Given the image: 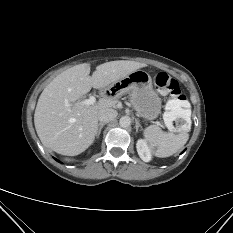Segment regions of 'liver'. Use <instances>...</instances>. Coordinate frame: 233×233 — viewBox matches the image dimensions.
I'll list each match as a JSON object with an SVG mask.
<instances>
[{"label": "liver", "mask_w": 233, "mask_h": 233, "mask_svg": "<svg viewBox=\"0 0 233 233\" xmlns=\"http://www.w3.org/2000/svg\"><path fill=\"white\" fill-rule=\"evenodd\" d=\"M145 66L135 61H110L97 66L89 76L90 64L83 63L55 77L41 93L34 114L35 129L42 144L66 156L84 152L97 135L98 113L118 102L114 97L104 96L87 106L82 104L84 96L92 87L103 89Z\"/></svg>", "instance_id": "6515ba94"}]
</instances>
